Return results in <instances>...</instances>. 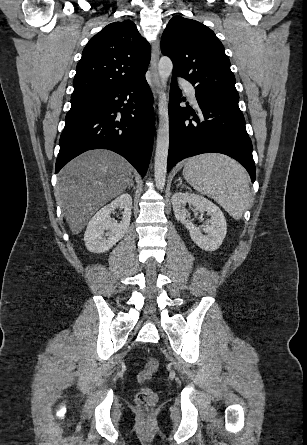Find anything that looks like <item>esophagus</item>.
<instances>
[{
  "instance_id": "1",
  "label": "esophagus",
  "mask_w": 307,
  "mask_h": 445,
  "mask_svg": "<svg viewBox=\"0 0 307 445\" xmlns=\"http://www.w3.org/2000/svg\"><path fill=\"white\" fill-rule=\"evenodd\" d=\"M159 46H160V42H159V39L157 38L156 40H154V42L152 44V56H151V65H150L151 83H152V89H153L155 98H158L161 93V91H160L161 85H160V81H159L158 68H157L159 55H160Z\"/></svg>"
}]
</instances>
